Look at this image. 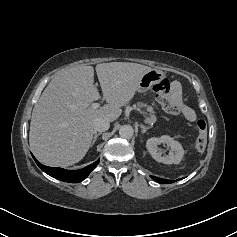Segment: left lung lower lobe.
I'll return each instance as SVG.
<instances>
[{
	"instance_id": "left-lung-lower-lobe-1",
	"label": "left lung lower lobe",
	"mask_w": 237,
	"mask_h": 237,
	"mask_svg": "<svg viewBox=\"0 0 237 237\" xmlns=\"http://www.w3.org/2000/svg\"><path fill=\"white\" fill-rule=\"evenodd\" d=\"M151 178L154 179L155 181H157L160 184H170V183L175 182L174 180H165V179H161V178H158V177H155V176H151Z\"/></svg>"
}]
</instances>
